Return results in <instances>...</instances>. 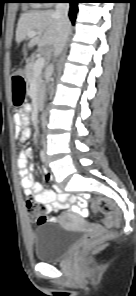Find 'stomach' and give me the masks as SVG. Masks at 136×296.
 <instances>
[{"mask_svg": "<svg viewBox=\"0 0 136 296\" xmlns=\"http://www.w3.org/2000/svg\"><path fill=\"white\" fill-rule=\"evenodd\" d=\"M13 84H24V79H13ZM27 90V85H12L10 98H12V104L14 108H21L24 105L25 98L27 94L25 93Z\"/></svg>", "mask_w": 136, "mask_h": 296, "instance_id": "1", "label": "stomach"}]
</instances>
